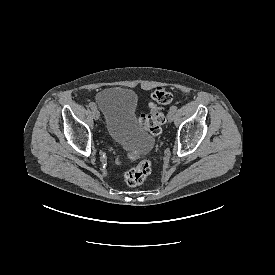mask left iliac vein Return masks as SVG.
<instances>
[{"label": "left iliac vein", "instance_id": "1", "mask_svg": "<svg viewBox=\"0 0 275 275\" xmlns=\"http://www.w3.org/2000/svg\"><path fill=\"white\" fill-rule=\"evenodd\" d=\"M173 120H174V112L169 111V113H168V121L172 122Z\"/></svg>", "mask_w": 275, "mask_h": 275}]
</instances>
